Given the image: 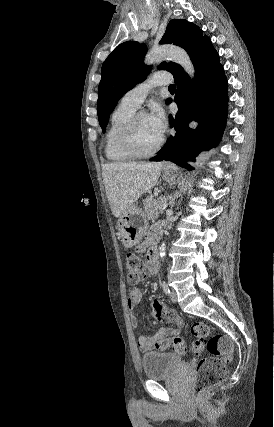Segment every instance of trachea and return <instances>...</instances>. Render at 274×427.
Wrapping results in <instances>:
<instances>
[{"instance_id":"trachea-1","label":"trachea","mask_w":274,"mask_h":427,"mask_svg":"<svg viewBox=\"0 0 274 427\" xmlns=\"http://www.w3.org/2000/svg\"><path fill=\"white\" fill-rule=\"evenodd\" d=\"M169 90L170 91H175L176 90V85L175 84L169 85Z\"/></svg>"}]
</instances>
